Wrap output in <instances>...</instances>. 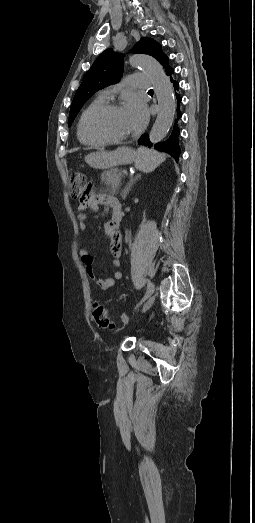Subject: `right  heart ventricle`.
<instances>
[{
  "label": "right heart ventricle",
  "instance_id": "1",
  "mask_svg": "<svg viewBox=\"0 0 255 523\" xmlns=\"http://www.w3.org/2000/svg\"><path fill=\"white\" fill-rule=\"evenodd\" d=\"M108 97H106L105 95H103L102 93H99L97 96H95L92 100H90L87 105L84 107L80 117H79V120H78V125H77V135H78V138L79 140L83 143V144H86V145H97L99 144L100 142H97V141H94V140H91L89 139L84 131H83V128H82V121L84 119V116L86 115V113L94 106L102 103V102H105L107 100Z\"/></svg>",
  "mask_w": 255,
  "mask_h": 523
}]
</instances>
